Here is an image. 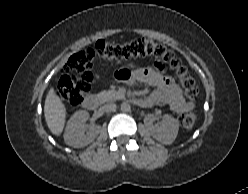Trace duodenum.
<instances>
[{
	"mask_svg": "<svg viewBox=\"0 0 248 194\" xmlns=\"http://www.w3.org/2000/svg\"><path fill=\"white\" fill-rule=\"evenodd\" d=\"M133 104L146 107L148 105L147 101L144 99H131L130 100ZM99 104V97L95 94L88 95L84 98L82 106L87 110H94Z\"/></svg>",
	"mask_w": 248,
	"mask_h": 194,
	"instance_id": "duodenum-1",
	"label": "duodenum"
}]
</instances>
